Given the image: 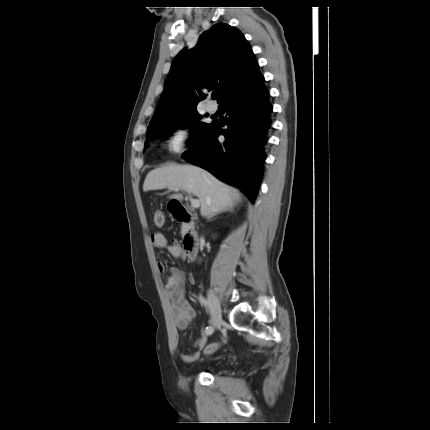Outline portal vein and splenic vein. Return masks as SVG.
<instances>
[{
    "label": "portal vein and splenic vein",
    "mask_w": 430,
    "mask_h": 430,
    "mask_svg": "<svg viewBox=\"0 0 430 430\" xmlns=\"http://www.w3.org/2000/svg\"><path fill=\"white\" fill-rule=\"evenodd\" d=\"M175 190H178V189L175 188ZM190 202L193 208H198L200 206V202L197 199H193L192 197H190Z\"/></svg>",
    "instance_id": "portal-vein-and-splenic-vein-1"
}]
</instances>
